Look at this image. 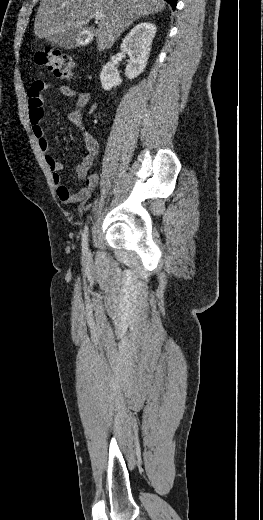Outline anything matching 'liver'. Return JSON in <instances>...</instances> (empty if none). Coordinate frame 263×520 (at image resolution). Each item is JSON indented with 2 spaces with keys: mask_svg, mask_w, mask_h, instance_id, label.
Returning a JSON list of instances; mask_svg holds the SVG:
<instances>
[{
  "mask_svg": "<svg viewBox=\"0 0 263 520\" xmlns=\"http://www.w3.org/2000/svg\"><path fill=\"white\" fill-rule=\"evenodd\" d=\"M163 0H41L34 21V33L51 41L57 34L73 33L82 28L95 12L99 20L97 44L99 50L110 48L121 33L141 17L162 11Z\"/></svg>",
  "mask_w": 263,
  "mask_h": 520,
  "instance_id": "6515ba94",
  "label": "liver"
}]
</instances>
